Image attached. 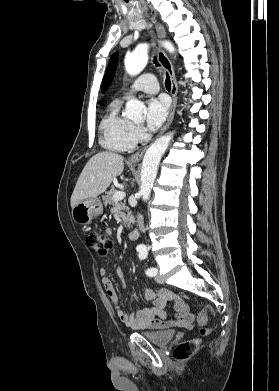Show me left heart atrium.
Instances as JSON below:
<instances>
[{"mask_svg":"<svg viewBox=\"0 0 279 391\" xmlns=\"http://www.w3.org/2000/svg\"><path fill=\"white\" fill-rule=\"evenodd\" d=\"M168 113V101L165 97L150 98L146 105L145 121L149 129H155L166 119Z\"/></svg>","mask_w":279,"mask_h":391,"instance_id":"1","label":"left heart atrium"}]
</instances>
